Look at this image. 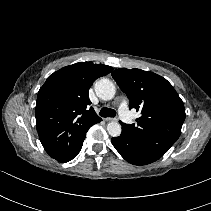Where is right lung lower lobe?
<instances>
[{
  "label": "right lung lower lobe",
  "mask_w": 211,
  "mask_h": 211,
  "mask_svg": "<svg viewBox=\"0 0 211 211\" xmlns=\"http://www.w3.org/2000/svg\"><path fill=\"white\" fill-rule=\"evenodd\" d=\"M86 132L87 131L79 134V136L77 137V143L70 152H68L65 156L58 158L56 160L58 162L65 163V162H68V161L72 160L73 158H75L81 150Z\"/></svg>",
  "instance_id": "1"
}]
</instances>
